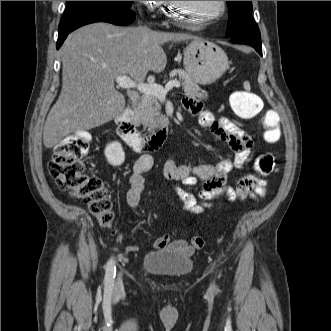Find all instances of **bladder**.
I'll return each instance as SVG.
<instances>
[{
	"instance_id": "31cf9c89",
	"label": "bladder",
	"mask_w": 331,
	"mask_h": 331,
	"mask_svg": "<svg viewBox=\"0 0 331 331\" xmlns=\"http://www.w3.org/2000/svg\"><path fill=\"white\" fill-rule=\"evenodd\" d=\"M141 267L161 278H179L191 272L193 260L182 251L163 248L148 251L142 258Z\"/></svg>"
}]
</instances>
